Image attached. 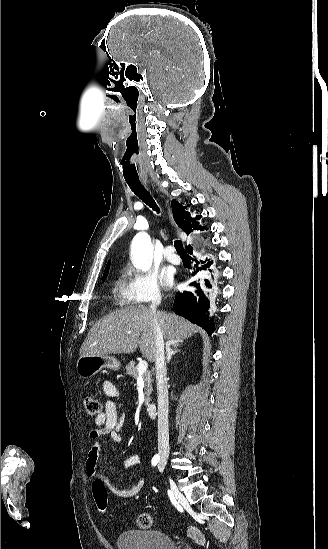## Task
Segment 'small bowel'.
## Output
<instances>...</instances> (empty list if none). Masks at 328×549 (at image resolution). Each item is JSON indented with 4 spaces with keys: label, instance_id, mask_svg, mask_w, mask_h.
I'll use <instances>...</instances> for the list:
<instances>
[{
    "label": "small bowel",
    "instance_id": "c3829d8e",
    "mask_svg": "<svg viewBox=\"0 0 328 549\" xmlns=\"http://www.w3.org/2000/svg\"><path fill=\"white\" fill-rule=\"evenodd\" d=\"M103 391L109 399L105 402L103 411L95 418V427L90 433L93 443L85 462V470L87 475L95 479H104L98 470V461L101 452L100 440L103 437H108L114 442H121V430L125 421V415L119 414L117 404L114 401V399L119 396V392L115 384L108 380L105 381L103 383ZM141 461V457L138 454H133L128 457L125 464L128 469H131L140 464ZM144 484V479H140L129 488L123 489L112 484H110V488L119 497L132 498L142 491Z\"/></svg>",
    "mask_w": 328,
    "mask_h": 549
}]
</instances>
